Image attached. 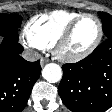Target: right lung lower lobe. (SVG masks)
Listing matches in <instances>:
<instances>
[{
  "label": "right lung lower lobe",
  "mask_w": 112,
  "mask_h": 112,
  "mask_svg": "<svg viewBox=\"0 0 112 112\" xmlns=\"http://www.w3.org/2000/svg\"><path fill=\"white\" fill-rule=\"evenodd\" d=\"M22 51L18 41L4 38L0 45V112H21L40 76V61H26Z\"/></svg>",
  "instance_id": "98d812e1"
}]
</instances>
